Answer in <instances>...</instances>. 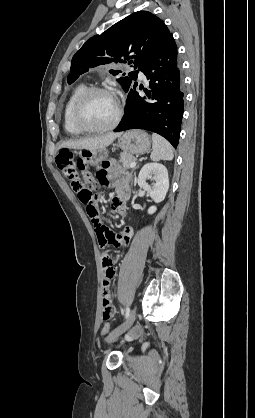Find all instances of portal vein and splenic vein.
I'll return each mask as SVG.
<instances>
[{
    "label": "portal vein and splenic vein",
    "mask_w": 255,
    "mask_h": 418,
    "mask_svg": "<svg viewBox=\"0 0 255 418\" xmlns=\"http://www.w3.org/2000/svg\"><path fill=\"white\" fill-rule=\"evenodd\" d=\"M135 166H136V162L135 161L130 164V168H134Z\"/></svg>",
    "instance_id": "portal-vein-and-splenic-vein-1"
}]
</instances>
